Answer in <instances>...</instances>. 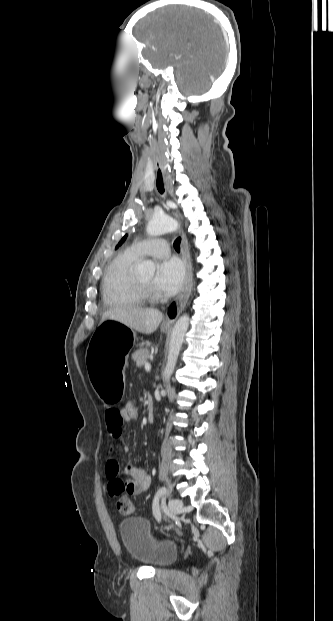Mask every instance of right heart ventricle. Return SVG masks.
Wrapping results in <instances>:
<instances>
[{"instance_id":"1","label":"right heart ventricle","mask_w":333,"mask_h":621,"mask_svg":"<svg viewBox=\"0 0 333 621\" xmlns=\"http://www.w3.org/2000/svg\"><path fill=\"white\" fill-rule=\"evenodd\" d=\"M138 260L126 251L109 265L102 284L103 299L108 305L140 306L147 302L133 274V267Z\"/></svg>"}]
</instances>
